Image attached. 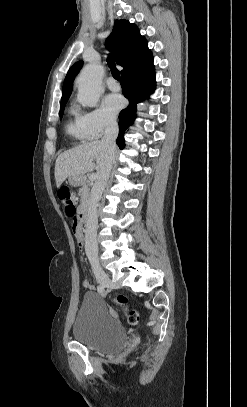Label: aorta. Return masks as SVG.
I'll use <instances>...</instances> for the list:
<instances>
[{
  "label": "aorta",
  "mask_w": 247,
  "mask_h": 407,
  "mask_svg": "<svg viewBox=\"0 0 247 407\" xmlns=\"http://www.w3.org/2000/svg\"><path fill=\"white\" fill-rule=\"evenodd\" d=\"M104 68L99 64H89L80 73L78 84V101L89 107H95L102 94Z\"/></svg>",
  "instance_id": "obj_1"
}]
</instances>
